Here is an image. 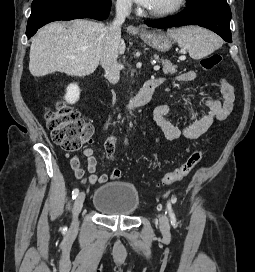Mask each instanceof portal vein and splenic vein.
Wrapping results in <instances>:
<instances>
[{
    "label": "portal vein and splenic vein",
    "instance_id": "1",
    "mask_svg": "<svg viewBox=\"0 0 255 272\" xmlns=\"http://www.w3.org/2000/svg\"><path fill=\"white\" fill-rule=\"evenodd\" d=\"M159 69H160V66H159V65H155V66H154V70H155V71H158Z\"/></svg>",
    "mask_w": 255,
    "mask_h": 272
}]
</instances>
